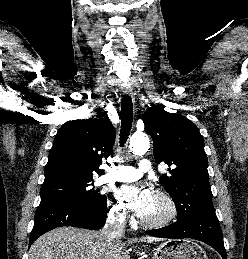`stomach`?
I'll return each mask as SVG.
<instances>
[{"label":"stomach","instance_id":"0dacf381","mask_svg":"<svg viewBox=\"0 0 248 259\" xmlns=\"http://www.w3.org/2000/svg\"><path fill=\"white\" fill-rule=\"evenodd\" d=\"M153 259H208L205 251L190 240H168L154 249Z\"/></svg>","mask_w":248,"mask_h":259}]
</instances>
